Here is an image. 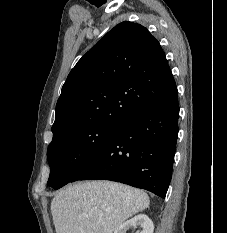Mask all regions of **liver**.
I'll return each mask as SVG.
<instances>
[{
	"label": "liver",
	"instance_id": "6515ba94",
	"mask_svg": "<svg viewBox=\"0 0 227 233\" xmlns=\"http://www.w3.org/2000/svg\"><path fill=\"white\" fill-rule=\"evenodd\" d=\"M149 203L142 190L111 181H87L58 192L51 212L56 233H113Z\"/></svg>",
	"mask_w": 227,
	"mask_h": 233
}]
</instances>
